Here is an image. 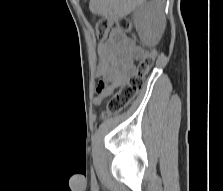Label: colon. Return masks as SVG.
<instances>
[{"instance_id": "5ec220e1", "label": "colon", "mask_w": 223, "mask_h": 191, "mask_svg": "<svg viewBox=\"0 0 223 191\" xmlns=\"http://www.w3.org/2000/svg\"><path fill=\"white\" fill-rule=\"evenodd\" d=\"M112 20L110 18H101L97 22L96 30L97 37L100 40L99 44V54L101 56H97L96 66L98 73H106V70H110L111 66L108 62L105 54V47L102 43L104 38L107 36L110 27L112 25ZM115 23L120 31L126 34H130L132 32V24L126 18H117ZM156 58V51H150L138 64L136 73L132 75L128 82L124 84L120 90L111 97L107 104L106 114L113 115L121 112L138 94V92L142 89L144 84V78L146 74L151 69Z\"/></svg>"}]
</instances>
